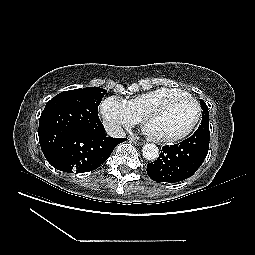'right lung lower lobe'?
<instances>
[{"instance_id":"1","label":"right lung lower lobe","mask_w":255,"mask_h":255,"mask_svg":"<svg viewBox=\"0 0 255 255\" xmlns=\"http://www.w3.org/2000/svg\"><path fill=\"white\" fill-rule=\"evenodd\" d=\"M124 138L107 137L105 129L92 133L77 130L63 137L51 150L44 153L56 169L68 173L92 171L103 164Z\"/></svg>"}]
</instances>
